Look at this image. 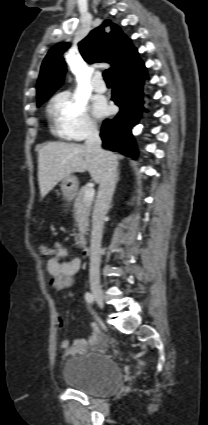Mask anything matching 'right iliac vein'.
Listing matches in <instances>:
<instances>
[{"label": "right iliac vein", "instance_id": "1", "mask_svg": "<svg viewBox=\"0 0 208 425\" xmlns=\"http://www.w3.org/2000/svg\"><path fill=\"white\" fill-rule=\"evenodd\" d=\"M91 290H92L93 296H94L95 300L97 301V303L100 305V307H103V305H104V302H103L104 298L103 297L104 296H103V291H102L100 284L96 283V282L91 283Z\"/></svg>", "mask_w": 208, "mask_h": 425}]
</instances>
